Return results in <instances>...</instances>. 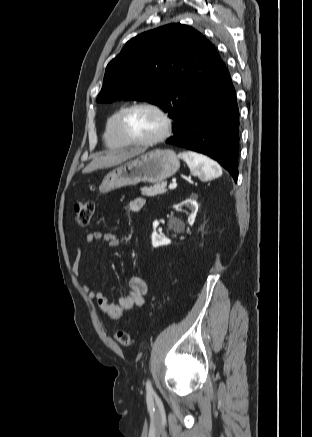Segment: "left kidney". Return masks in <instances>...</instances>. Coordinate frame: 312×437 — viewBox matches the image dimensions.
I'll use <instances>...</instances> for the list:
<instances>
[{
    "mask_svg": "<svg viewBox=\"0 0 312 437\" xmlns=\"http://www.w3.org/2000/svg\"><path fill=\"white\" fill-rule=\"evenodd\" d=\"M182 206H186L190 209L191 213L188 216V223L189 225H193L195 222V217L198 211V203L195 199V195H191L190 198L184 200L183 202H181L180 204H178V207H182ZM159 222L157 220H155L153 222V233H152V246L154 248L159 247V246H163V245H168L171 243V240L169 238H166L162 235H159L156 232V228L158 227ZM170 229H173L177 232H180L183 228H184V224L182 221H180L177 218H170L169 220V224H168Z\"/></svg>",
    "mask_w": 312,
    "mask_h": 437,
    "instance_id": "left-kidney-1",
    "label": "left kidney"
}]
</instances>
